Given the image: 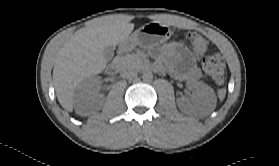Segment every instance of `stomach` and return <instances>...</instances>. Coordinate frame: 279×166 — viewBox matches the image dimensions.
Listing matches in <instances>:
<instances>
[{
  "instance_id": "stomach-1",
  "label": "stomach",
  "mask_w": 279,
  "mask_h": 166,
  "mask_svg": "<svg viewBox=\"0 0 279 166\" xmlns=\"http://www.w3.org/2000/svg\"><path fill=\"white\" fill-rule=\"evenodd\" d=\"M172 35L171 29L162 23L151 22L143 25L128 38L121 42L124 51H130L137 46L150 49L166 42Z\"/></svg>"
}]
</instances>
